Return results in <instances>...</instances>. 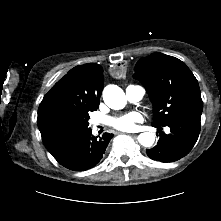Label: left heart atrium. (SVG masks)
Masks as SVG:
<instances>
[{
    "label": "left heart atrium",
    "instance_id": "39dd6f15",
    "mask_svg": "<svg viewBox=\"0 0 221 221\" xmlns=\"http://www.w3.org/2000/svg\"><path fill=\"white\" fill-rule=\"evenodd\" d=\"M142 121L143 116L139 112L132 111L110 118L109 124L117 130L133 131Z\"/></svg>",
    "mask_w": 221,
    "mask_h": 221
}]
</instances>
